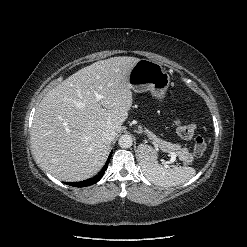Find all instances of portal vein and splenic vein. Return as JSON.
<instances>
[{
  "label": "portal vein and splenic vein",
  "instance_id": "1",
  "mask_svg": "<svg viewBox=\"0 0 247 247\" xmlns=\"http://www.w3.org/2000/svg\"><path fill=\"white\" fill-rule=\"evenodd\" d=\"M95 98L97 101H99L102 97L101 95L95 93ZM170 156H171V162L174 163L178 155L175 152H170Z\"/></svg>",
  "mask_w": 247,
  "mask_h": 247
}]
</instances>
